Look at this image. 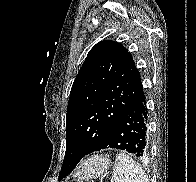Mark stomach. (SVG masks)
I'll list each match as a JSON object with an SVG mask.
<instances>
[{
  "mask_svg": "<svg viewBox=\"0 0 196 182\" xmlns=\"http://www.w3.org/2000/svg\"><path fill=\"white\" fill-rule=\"evenodd\" d=\"M110 166V160L104 155H93L86 159L79 167L76 176L78 182L94 179L107 172Z\"/></svg>",
  "mask_w": 196,
  "mask_h": 182,
  "instance_id": "stomach-1",
  "label": "stomach"
}]
</instances>
